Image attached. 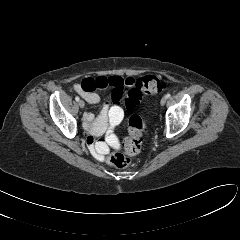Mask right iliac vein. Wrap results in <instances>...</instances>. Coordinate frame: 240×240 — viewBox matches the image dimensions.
<instances>
[{
    "label": "right iliac vein",
    "mask_w": 240,
    "mask_h": 240,
    "mask_svg": "<svg viewBox=\"0 0 240 240\" xmlns=\"http://www.w3.org/2000/svg\"><path fill=\"white\" fill-rule=\"evenodd\" d=\"M84 106H85L84 101H83V100H80V101H79V107H80V108H84Z\"/></svg>",
    "instance_id": "63e3f726"
}]
</instances>
